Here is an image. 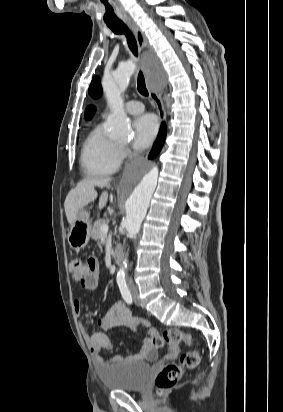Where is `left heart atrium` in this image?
<instances>
[{
  "label": "left heart atrium",
  "instance_id": "1",
  "mask_svg": "<svg viewBox=\"0 0 283 412\" xmlns=\"http://www.w3.org/2000/svg\"><path fill=\"white\" fill-rule=\"evenodd\" d=\"M159 124L157 118L152 114H144L134 122V147L145 149L149 147L158 134Z\"/></svg>",
  "mask_w": 283,
  "mask_h": 412
}]
</instances>
